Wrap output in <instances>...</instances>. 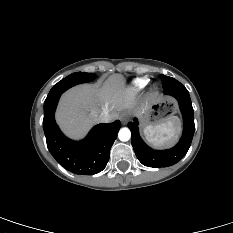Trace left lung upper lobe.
Returning a JSON list of instances; mask_svg holds the SVG:
<instances>
[{
    "label": "left lung upper lobe",
    "mask_w": 233,
    "mask_h": 233,
    "mask_svg": "<svg viewBox=\"0 0 233 233\" xmlns=\"http://www.w3.org/2000/svg\"><path fill=\"white\" fill-rule=\"evenodd\" d=\"M161 80L163 82V88L169 87V86L173 85L177 81L174 78L163 75V74L161 75Z\"/></svg>",
    "instance_id": "1"
}]
</instances>
